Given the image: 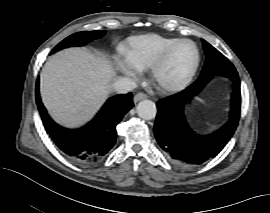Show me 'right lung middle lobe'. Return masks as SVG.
<instances>
[{
	"mask_svg": "<svg viewBox=\"0 0 270 213\" xmlns=\"http://www.w3.org/2000/svg\"><path fill=\"white\" fill-rule=\"evenodd\" d=\"M105 34L104 31H83V32H78L75 33L66 39H64L61 43H59L51 53H54L58 50H61L66 47L70 46H81L85 45L86 43L98 39L102 37Z\"/></svg>",
	"mask_w": 270,
	"mask_h": 213,
	"instance_id": "1",
	"label": "right lung middle lobe"
}]
</instances>
